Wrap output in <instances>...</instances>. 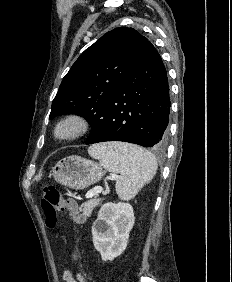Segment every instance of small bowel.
<instances>
[{
  "label": "small bowel",
  "mask_w": 232,
  "mask_h": 282,
  "mask_svg": "<svg viewBox=\"0 0 232 282\" xmlns=\"http://www.w3.org/2000/svg\"><path fill=\"white\" fill-rule=\"evenodd\" d=\"M77 260H78V253L77 251H74L72 254V262L75 268H76ZM63 279L65 282H86L85 278L80 272L78 271L72 272L67 268L63 269Z\"/></svg>",
  "instance_id": "1"
}]
</instances>
